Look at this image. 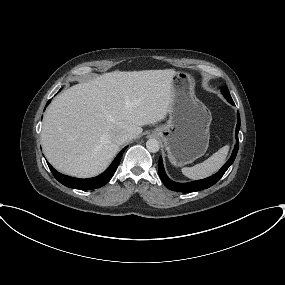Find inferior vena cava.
Masks as SVG:
<instances>
[{
    "mask_svg": "<svg viewBox=\"0 0 285 285\" xmlns=\"http://www.w3.org/2000/svg\"><path fill=\"white\" fill-rule=\"evenodd\" d=\"M112 136H113V140L119 145L124 144L128 140V134L125 133L124 131L115 132L113 133Z\"/></svg>",
    "mask_w": 285,
    "mask_h": 285,
    "instance_id": "602c4592",
    "label": "inferior vena cava"
}]
</instances>
